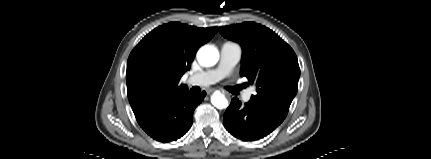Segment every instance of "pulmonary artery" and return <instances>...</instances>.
Masks as SVG:
<instances>
[{
	"instance_id": "obj_1",
	"label": "pulmonary artery",
	"mask_w": 431,
	"mask_h": 159,
	"mask_svg": "<svg viewBox=\"0 0 431 159\" xmlns=\"http://www.w3.org/2000/svg\"><path fill=\"white\" fill-rule=\"evenodd\" d=\"M241 57L242 49L240 45L235 42L227 41L221 46L218 66L191 75L188 79V83L198 86L215 84L231 73ZM253 94L254 90L248 89L243 93L242 98L245 102H248Z\"/></svg>"
}]
</instances>
